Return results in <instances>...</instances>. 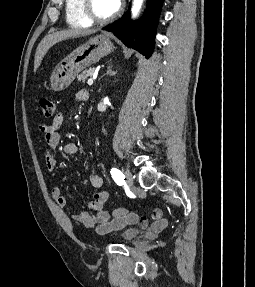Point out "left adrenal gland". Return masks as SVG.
I'll list each match as a JSON object with an SVG mask.
<instances>
[{
  "instance_id": "left-adrenal-gland-1",
  "label": "left adrenal gland",
  "mask_w": 255,
  "mask_h": 287,
  "mask_svg": "<svg viewBox=\"0 0 255 287\" xmlns=\"http://www.w3.org/2000/svg\"><path fill=\"white\" fill-rule=\"evenodd\" d=\"M106 74H109V76H115L117 72H113V70H111V66H108Z\"/></svg>"
}]
</instances>
